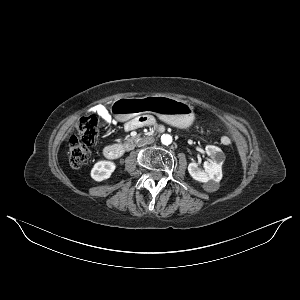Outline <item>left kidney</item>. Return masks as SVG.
<instances>
[{"label":"left kidney","mask_w":300,"mask_h":300,"mask_svg":"<svg viewBox=\"0 0 300 300\" xmlns=\"http://www.w3.org/2000/svg\"><path fill=\"white\" fill-rule=\"evenodd\" d=\"M205 151L211 160L204 162V170L198 168L194 162L188 165V172L193 179L207 183L208 181L220 182L222 179V164L225 160L223 151L216 146L207 145Z\"/></svg>","instance_id":"5707ae66"}]
</instances>
